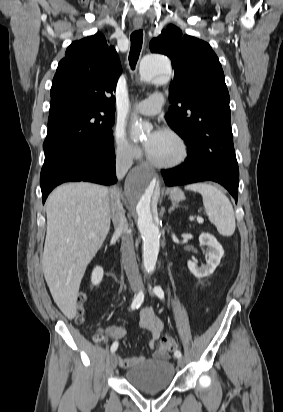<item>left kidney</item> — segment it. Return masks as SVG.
Here are the masks:
<instances>
[{
  "mask_svg": "<svg viewBox=\"0 0 283 412\" xmlns=\"http://www.w3.org/2000/svg\"><path fill=\"white\" fill-rule=\"evenodd\" d=\"M199 242L209 248L206 265L198 267L196 263L188 261L187 266L190 272L197 278H203L213 274L216 267L220 264V260L224 255V250L216 238L209 233H202L199 236Z\"/></svg>",
  "mask_w": 283,
  "mask_h": 412,
  "instance_id": "5707ae66",
  "label": "left kidney"
}]
</instances>
